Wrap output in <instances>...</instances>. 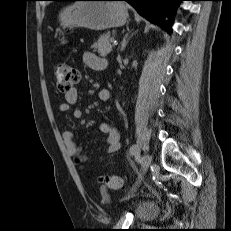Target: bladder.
I'll return each instance as SVG.
<instances>
[{"mask_svg": "<svg viewBox=\"0 0 231 231\" xmlns=\"http://www.w3.org/2000/svg\"><path fill=\"white\" fill-rule=\"evenodd\" d=\"M158 213L157 206L150 201L139 202L133 208L134 217L138 220H148L156 216Z\"/></svg>", "mask_w": 231, "mask_h": 231, "instance_id": "obj_1", "label": "bladder"}]
</instances>
